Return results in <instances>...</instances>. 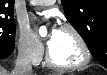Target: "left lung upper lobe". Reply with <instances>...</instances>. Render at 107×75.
I'll use <instances>...</instances> for the list:
<instances>
[{
    "mask_svg": "<svg viewBox=\"0 0 107 75\" xmlns=\"http://www.w3.org/2000/svg\"><path fill=\"white\" fill-rule=\"evenodd\" d=\"M67 20L82 36L92 55L106 48L107 0H61ZM107 68L106 65H103Z\"/></svg>",
    "mask_w": 107,
    "mask_h": 75,
    "instance_id": "5c2ea615",
    "label": "left lung upper lobe"
}]
</instances>
